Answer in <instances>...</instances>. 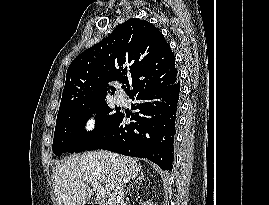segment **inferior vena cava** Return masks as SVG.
<instances>
[{"instance_id":"1","label":"inferior vena cava","mask_w":269,"mask_h":205,"mask_svg":"<svg viewBox=\"0 0 269 205\" xmlns=\"http://www.w3.org/2000/svg\"><path fill=\"white\" fill-rule=\"evenodd\" d=\"M124 187L125 184L122 180V177H118L117 185L113 189V192L109 195V199L106 205H123Z\"/></svg>"}]
</instances>
